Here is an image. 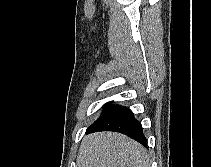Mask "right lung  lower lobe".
I'll return each mask as SVG.
<instances>
[{
    "label": "right lung lower lobe",
    "mask_w": 211,
    "mask_h": 167,
    "mask_svg": "<svg viewBox=\"0 0 211 167\" xmlns=\"http://www.w3.org/2000/svg\"><path fill=\"white\" fill-rule=\"evenodd\" d=\"M97 131L119 132L146 146V137L143 134L141 123L135 119L129 108L123 106L111 105L87 129V133Z\"/></svg>",
    "instance_id": "obj_1"
}]
</instances>
